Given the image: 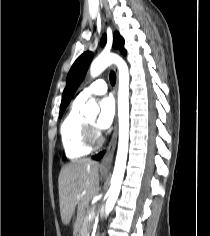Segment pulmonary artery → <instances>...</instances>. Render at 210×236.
I'll return each mask as SVG.
<instances>
[{
    "instance_id": "pulmonary-artery-1",
    "label": "pulmonary artery",
    "mask_w": 210,
    "mask_h": 236,
    "mask_svg": "<svg viewBox=\"0 0 210 236\" xmlns=\"http://www.w3.org/2000/svg\"><path fill=\"white\" fill-rule=\"evenodd\" d=\"M107 88L106 80L98 79L81 91L76 99L84 103L94 95L104 94L107 91Z\"/></svg>"
}]
</instances>
